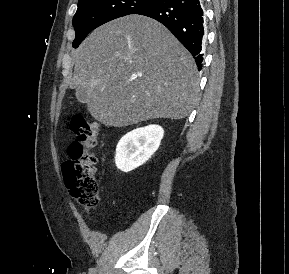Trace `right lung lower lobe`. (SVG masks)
<instances>
[{
    "mask_svg": "<svg viewBox=\"0 0 289 274\" xmlns=\"http://www.w3.org/2000/svg\"><path fill=\"white\" fill-rule=\"evenodd\" d=\"M134 14L151 17L165 25L191 52L198 69H201L204 37L201 0H157Z\"/></svg>",
    "mask_w": 289,
    "mask_h": 274,
    "instance_id": "right-lung-lower-lobe-1",
    "label": "right lung lower lobe"
}]
</instances>
